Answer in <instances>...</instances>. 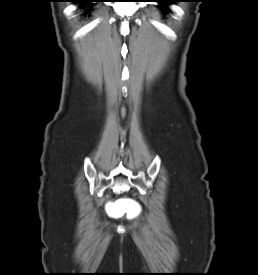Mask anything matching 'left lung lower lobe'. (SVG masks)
<instances>
[{"label": "left lung lower lobe", "instance_id": "1", "mask_svg": "<svg viewBox=\"0 0 258 275\" xmlns=\"http://www.w3.org/2000/svg\"><path fill=\"white\" fill-rule=\"evenodd\" d=\"M156 2L169 4V3L177 2V0H156Z\"/></svg>", "mask_w": 258, "mask_h": 275}]
</instances>
